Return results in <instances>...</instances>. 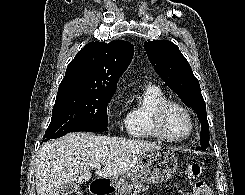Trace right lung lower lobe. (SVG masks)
I'll return each instance as SVG.
<instances>
[{
	"instance_id": "right-lung-lower-lobe-1",
	"label": "right lung lower lobe",
	"mask_w": 245,
	"mask_h": 195,
	"mask_svg": "<svg viewBox=\"0 0 245 195\" xmlns=\"http://www.w3.org/2000/svg\"><path fill=\"white\" fill-rule=\"evenodd\" d=\"M107 130H108L107 126H87V127L80 128L74 132H78V131L99 132V131H107Z\"/></svg>"
}]
</instances>
